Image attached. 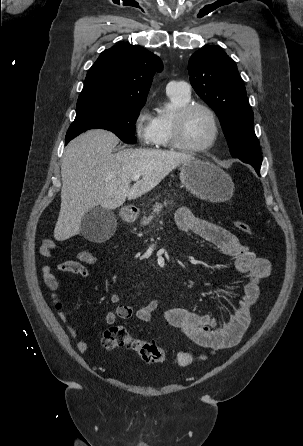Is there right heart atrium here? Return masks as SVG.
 <instances>
[{
    "instance_id": "d8ad5b80",
    "label": "right heart atrium",
    "mask_w": 303,
    "mask_h": 446,
    "mask_svg": "<svg viewBox=\"0 0 303 446\" xmlns=\"http://www.w3.org/2000/svg\"><path fill=\"white\" fill-rule=\"evenodd\" d=\"M134 132L138 141L143 145L153 143L155 136L154 118L146 107H143L137 113L134 120Z\"/></svg>"
}]
</instances>
